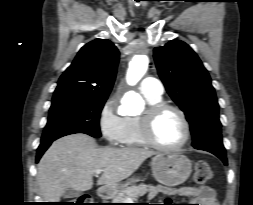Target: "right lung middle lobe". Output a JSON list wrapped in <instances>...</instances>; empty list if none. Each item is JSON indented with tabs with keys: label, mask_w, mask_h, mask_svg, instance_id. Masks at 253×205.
<instances>
[{
	"label": "right lung middle lobe",
	"mask_w": 253,
	"mask_h": 205,
	"mask_svg": "<svg viewBox=\"0 0 253 205\" xmlns=\"http://www.w3.org/2000/svg\"><path fill=\"white\" fill-rule=\"evenodd\" d=\"M106 99L65 98L52 101L41 142L74 133L100 137L99 118Z\"/></svg>",
	"instance_id": "1"
}]
</instances>
